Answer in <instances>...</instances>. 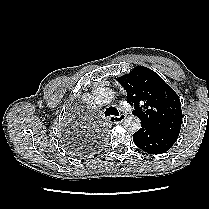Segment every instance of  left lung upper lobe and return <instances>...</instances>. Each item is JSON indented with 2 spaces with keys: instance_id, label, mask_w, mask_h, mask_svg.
Here are the masks:
<instances>
[{
  "instance_id": "left-lung-upper-lobe-1",
  "label": "left lung upper lobe",
  "mask_w": 209,
  "mask_h": 209,
  "mask_svg": "<svg viewBox=\"0 0 209 209\" xmlns=\"http://www.w3.org/2000/svg\"><path fill=\"white\" fill-rule=\"evenodd\" d=\"M117 81L127 92L133 114L146 125L179 136L182 123L181 103L175 91L149 68L138 66Z\"/></svg>"
}]
</instances>
